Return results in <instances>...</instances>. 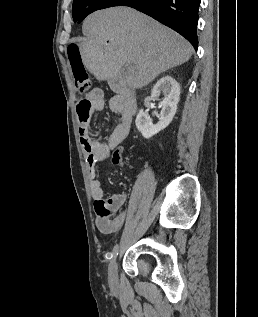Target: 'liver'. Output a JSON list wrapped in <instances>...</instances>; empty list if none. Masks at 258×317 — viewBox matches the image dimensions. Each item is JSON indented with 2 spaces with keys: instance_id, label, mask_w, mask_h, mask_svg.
I'll return each instance as SVG.
<instances>
[{
  "instance_id": "liver-1",
  "label": "liver",
  "mask_w": 258,
  "mask_h": 317,
  "mask_svg": "<svg viewBox=\"0 0 258 317\" xmlns=\"http://www.w3.org/2000/svg\"><path fill=\"white\" fill-rule=\"evenodd\" d=\"M88 38L79 44L84 66L111 88H142L160 72L189 60L193 46L178 32L130 6L96 10L83 20ZM131 62L129 74L121 66Z\"/></svg>"
}]
</instances>
